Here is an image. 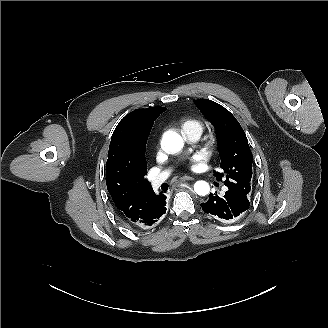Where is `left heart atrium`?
<instances>
[{
    "label": "left heart atrium",
    "mask_w": 328,
    "mask_h": 328,
    "mask_svg": "<svg viewBox=\"0 0 328 328\" xmlns=\"http://www.w3.org/2000/svg\"><path fill=\"white\" fill-rule=\"evenodd\" d=\"M197 167H198V164H197L196 161H194L193 164H192V168H193V169H196Z\"/></svg>",
    "instance_id": "left-heart-atrium-1"
}]
</instances>
